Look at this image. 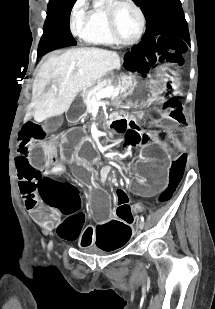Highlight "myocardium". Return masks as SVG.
Returning <instances> with one entry per match:
<instances>
[{
  "label": "myocardium",
  "mask_w": 215,
  "mask_h": 309,
  "mask_svg": "<svg viewBox=\"0 0 215 309\" xmlns=\"http://www.w3.org/2000/svg\"><path fill=\"white\" fill-rule=\"evenodd\" d=\"M119 8L129 9L134 14V17H135V31H134V34L132 35V37L128 40L126 38L124 39L122 37L121 31H117V29H116L117 21L114 19V16L110 12V11H115ZM105 13H106L105 14L106 19L108 20L107 30H110L109 37H114V44L113 45L122 46V47L132 46L139 40V38L141 37L142 32H143L144 19H143V15H142L141 11L135 5L120 4L118 6H110V10L106 9Z\"/></svg>",
  "instance_id": "obj_1"
}]
</instances>
